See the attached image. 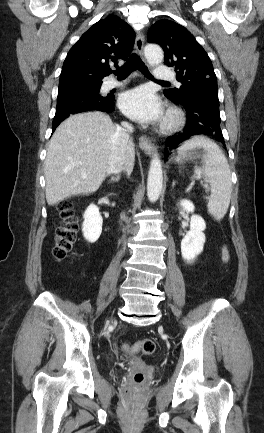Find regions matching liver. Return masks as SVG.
<instances>
[{
  "label": "liver",
  "instance_id": "6515ba94",
  "mask_svg": "<svg viewBox=\"0 0 264 433\" xmlns=\"http://www.w3.org/2000/svg\"><path fill=\"white\" fill-rule=\"evenodd\" d=\"M115 132L110 117L97 111L73 115L59 125L45 159V193L49 206L99 189L116 150ZM134 160L131 140L124 168L127 175L133 170Z\"/></svg>",
  "mask_w": 264,
  "mask_h": 433
}]
</instances>
